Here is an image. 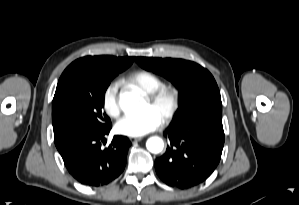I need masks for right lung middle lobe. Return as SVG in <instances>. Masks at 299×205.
<instances>
[{
    "instance_id": "dd1d6c3e",
    "label": "right lung middle lobe",
    "mask_w": 299,
    "mask_h": 205,
    "mask_svg": "<svg viewBox=\"0 0 299 205\" xmlns=\"http://www.w3.org/2000/svg\"><path fill=\"white\" fill-rule=\"evenodd\" d=\"M114 74L69 73L53 99L52 123L57 149L74 137L111 125L103 113L105 91Z\"/></svg>"
}]
</instances>
